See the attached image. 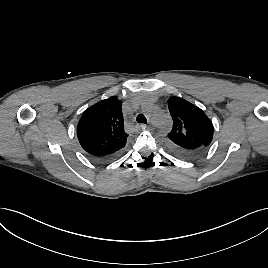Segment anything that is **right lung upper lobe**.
<instances>
[{
  "label": "right lung upper lobe",
  "instance_id": "cb5924a9",
  "mask_svg": "<svg viewBox=\"0 0 268 268\" xmlns=\"http://www.w3.org/2000/svg\"><path fill=\"white\" fill-rule=\"evenodd\" d=\"M122 102L112 96L89 107L80 118L77 137L91 156L118 153L126 145Z\"/></svg>",
  "mask_w": 268,
  "mask_h": 268
}]
</instances>
